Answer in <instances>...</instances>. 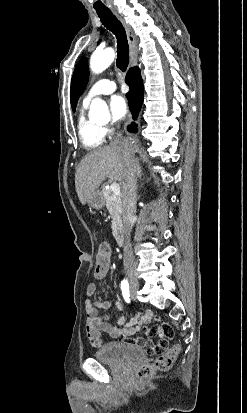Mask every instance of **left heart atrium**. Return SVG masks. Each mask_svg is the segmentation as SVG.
<instances>
[{
    "label": "left heart atrium",
    "instance_id": "1",
    "mask_svg": "<svg viewBox=\"0 0 247 413\" xmlns=\"http://www.w3.org/2000/svg\"><path fill=\"white\" fill-rule=\"evenodd\" d=\"M111 113L116 121L122 120L127 113V103L120 94L112 95L109 100Z\"/></svg>",
    "mask_w": 247,
    "mask_h": 413
}]
</instances>
